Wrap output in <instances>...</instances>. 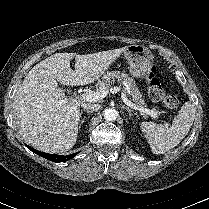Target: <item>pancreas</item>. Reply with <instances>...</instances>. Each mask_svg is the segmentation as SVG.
Here are the masks:
<instances>
[{
	"instance_id": "obj_1",
	"label": "pancreas",
	"mask_w": 209,
	"mask_h": 209,
	"mask_svg": "<svg viewBox=\"0 0 209 209\" xmlns=\"http://www.w3.org/2000/svg\"><path fill=\"white\" fill-rule=\"evenodd\" d=\"M115 80L125 83L128 87L130 95L132 96L133 102H135V104L139 107H144V100L139 89L136 87L135 81L124 71H112L104 74L102 80H99L96 84V90L99 91L104 88L109 89L111 86L110 84L114 83ZM155 112L157 114L159 113L158 111Z\"/></svg>"
}]
</instances>
